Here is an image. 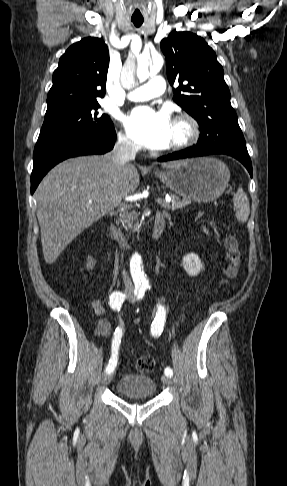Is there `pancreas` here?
<instances>
[{
	"instance_id": "pancreas-1",
	"label": "pancreas",
	"mask_w": 287,
	"mask_h": 486,
	"mask_svg": "<svg viewBox=\"0 0 287 486\" xmlns=\"http://www.w3.org/2000/svg\"><path fill=\"white\" fill-rule=\"evenodd\" d=\"M172 199V204L168 205L166 208L171 209V210H177V209H182L186 205H189L191 203L190 200L188 199H180L179 197L175 195H171ZM129 209V208H128ZM121 224L125 229H132L136 230L138 227V214L135 212H128L125 211L122 213L121 218H120Z\"/></svg>"
}]
</instances>
